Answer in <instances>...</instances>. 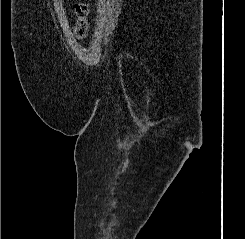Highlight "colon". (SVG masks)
<instances>
[{
	"instance_id": "5ec220e1",
	"label": "colon",
	"mask_w": 245,
	"mask_h": 239,
	"mask_svg": "<svg viewBox=\"0 0 245 239\" xmlns=\"http://www.w3.org/2000/svg\"><path fill=\"white\" fill-rule=\"evenodd\" d=\"M75 12L77 15V22L75 24V35L79 39L86 37L88 33V21L87 16L89 14V6L86 3L79 2L75 5Z\"/></svg>"
}]
</instances>
